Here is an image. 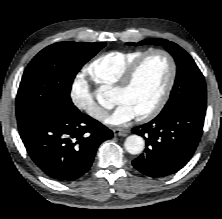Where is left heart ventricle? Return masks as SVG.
Returning a JSON list of instances; mask_svg holds the SVG:
<instances>
[{"label":"left heart ventricle","mask_w":222,"mask_h":219,"mask_svg":"<svg viewBox=\"0 0 222 219\" xmlns=\"http://www.w3.org/2000/svg\"><path fill=\"white\" fill-rule=\"evenodd\" d=\"M169 76V64L160 54L149 56L140 66L131 86L114 92L116 104L126 103L141 115L150 110L160 99Z\"/></svg>","instance_id":"obj_1"}]
</instances>
